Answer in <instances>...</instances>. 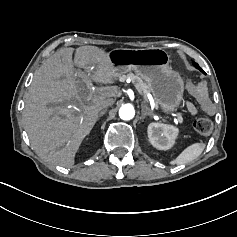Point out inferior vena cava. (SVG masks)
I'll return each mask as SVG.
<instances>
[{"mask_svg":"<svg viewBox=\"0 0 237 237\" xmlns=\"http://www.w3.org/2000/svg\"><path fill=\"white\" fill-rule=\"evenodd\" d=\"M113 104H114V99L108 98V99L101 102V107L106 108V107L113 106Z\"/></svg>","mask_w":237,"mask_h":237,"instance_id":"1","label":"inferior vena cava"}]
</instances>
